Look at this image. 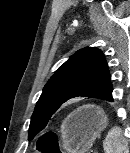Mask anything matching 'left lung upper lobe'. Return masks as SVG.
Segmentation results:
<instances>
[{
	"label": "left lung upper lobe",
	"instance_id": "1",
	"mask_svg": "<svg viewBox=\"0 0 130 153\" xmlns=\"http://www.w3.org/2000/svg\"><path fill=\"white\" fill-rule=\"evenodd\" d=\"M110 84L104 54L86 47L71 56L49 79L31 117L29 140L43 130L67 100L75 97L101 99Z\"/></svg>",
	"mask_w": 130,
	"mask_h": 153
}]
</instances>
